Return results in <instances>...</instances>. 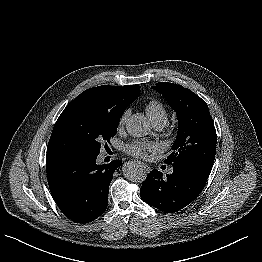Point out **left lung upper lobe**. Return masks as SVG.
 <instances>
[{"label":"left lung upper lobe","mask_w":262,"mask_h":262,"mask_svg":"<svg viewBox=\"0 0 262 262\" xmlns=\"http://www.w3.org/2000/svg\"><path fill=\"white\" fill-rule=\"evenodd\" d=\"M152 88L163 95L178 118V134L172 146L174 152L164 162L173 168L210 173L217 136L206 102L181 85L159 82Z\"/></svg>","instance_id":"1"}]
</instances>
